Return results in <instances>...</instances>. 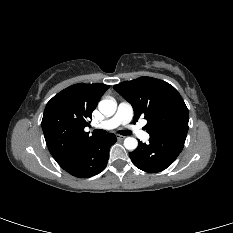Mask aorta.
<instances>
[{
	"label": "aorta",
	"instance_id": "obj_1",
	"mask_svg": "<svg viewBox=\"0 0 233 233\" xmlns=\"http://www.w3.org/2000/svg\"><path fill=\"white\" fill-rule=\"evenodd\" d=\"M98 109L103 115L110 117L116 112L117 102L115 99H104L99 102ZM124 146L126 149L133 151L137 148L138 141L134 137H127L124 140Z\"/></svg>",
	"mask_w": 233,
	"mask_h": 233
}]
</instances>
